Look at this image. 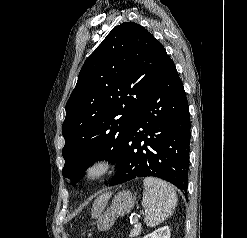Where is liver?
I'll use <instances>...</instances> for the list:
<instances>
[{"mask_svg":"<svg viewBox=\"0 0 247 238\" xmlns=\"http://www.w3.org/2000/svg\"><path fill=\"white\" fill-rule=\"evenodd\" d=\"M111 195H112L111 192H107V193L100 195L97 199H95L93 203V207H92V217L93 218L98 217L102 213Z\"/></svg>","mask_w":247,"mask_h":238,"instance_id":"obj_1","label":"liver"}]
</instances>
